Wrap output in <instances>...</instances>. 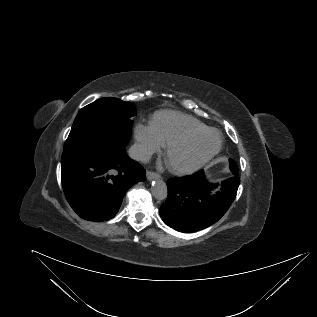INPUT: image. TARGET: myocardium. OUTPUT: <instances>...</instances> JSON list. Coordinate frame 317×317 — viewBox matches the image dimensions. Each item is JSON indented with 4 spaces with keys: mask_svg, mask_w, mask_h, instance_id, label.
Listing matches in <instances>:
<instances>
[{
    "mask_svg": "<svg viewBox=\"0 0 317 317\" xmlns=\"http://www.w3.org/2000/svg\"><path fill=\"white\" fill-rule=\"evenodd\" d=\"M206 133H215L218 136V142L216 144V146L209 151L206 155H204L203 157L199 158L197 161H195L194 163L188 165V166H184V167H175V166H171L168 164L167 159L169 154L176 148L182 146L183 144H185L186 142H188L189 140L196 138L198 136H201L203 134ZM222 143H223V139H222V135L221 133L214 129V128H204V129H199V130H192L189 132H186L184 134H182L181 136L173 139L172 141H170L166 146H165V150H164V158L165 161L168 164L169 169L178 175H185V174H190L192 172L197 171L198 169L202 168L204 165H206L209 161H211L221 150L222 148Z\"/></svg>",
    "mask_w": 317,
    "mask_h": 317,
    "instance_id": "obj_1",
    "label": "myocardium"
}]
</instances>
